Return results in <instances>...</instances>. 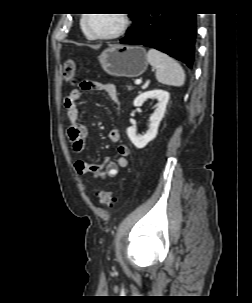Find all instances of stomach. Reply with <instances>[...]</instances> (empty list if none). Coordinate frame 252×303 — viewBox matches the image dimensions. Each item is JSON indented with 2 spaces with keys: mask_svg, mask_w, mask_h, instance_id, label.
<instances>
[{
  "mask_svg": "<svg viewBox=\"0 0 252 303\" xmlns=\"http://www.w3.org/2000/svg\"><path fill=\"white\" fill-rule=\"evenodd\" d=\"M99 62L107 74L115 77H138L148 67L146 51L140 46L110 47L101 53Z\"/></svg>",
  "mask_w": 252,
  "mask_h": 303,
  "instance_id": "0dacf381",
  "label": "stomach"
}]
</instances>
